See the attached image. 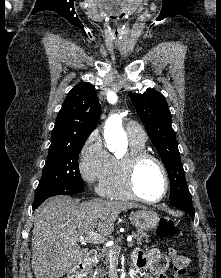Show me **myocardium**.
I'll list each match as a JSON object with an SVG mask.
<instances>
[{"label": "myocardium", "mask_w": 221, "mask_h": 278, "mask_svg": "<svg viewBox=\"0 0 221 278\" xmlns=\"http://www.w3.org/2000/svg\"><path fill=\"white\" fill-rule=\"evenodd\" d=\"M146 160L154 161L160 168L164 177V190L162 194L156 199H148L141 195L135 184L136 170L138 166ZM118 162L120 167L122 183L132 198L145 203L154 204L162 201L167 196L170 187L169 174L164 163L156 155L144 150H130L125 155L118 158Z\"/></svg>", "instance_id": "obj_1"}]
</instances>
